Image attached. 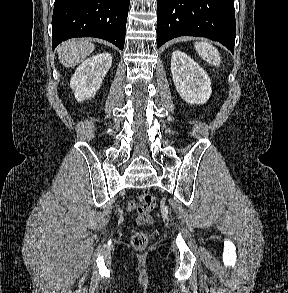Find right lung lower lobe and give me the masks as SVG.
Instances as JSON below:
<instances>
[{"label": "right lung lower lobe", "instance_id": "right-lung-lower-lobe-1", "mask_svg": "<svg viewBox=\"0 0 288 293\" xmlns=\"http://www.w3.org/2000/svg\"><path fill=\"white\" fill-rule=\"evenodd\" d=\"M130 0H55L53 49L76 37H97L124 48Z\"/></svg>", "mask_w": 288, "mask_h": 293}]
</instances>
